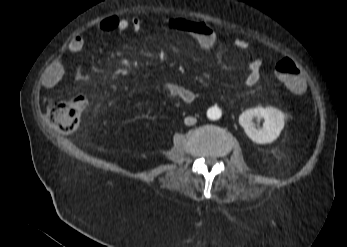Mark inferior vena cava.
I'll list each match as a JSON object with an SVG mask.
<instances>
[{"instance_id":"602c4592","label":"inferior vena cava","mask_w":347,"mask_h":247,"mask_svg":"<svg viewBox=\"0 0 347 247\" xmlns=\"http://www.w3.org/2000/svg\"><path fill=\"white\" fill-rule=\"evenodd\" d=\"M196 122H197V119L194 118V117L188 116V117H186V118L184 119V123H185L186 125H188V126L193 125V124H195Z\"/></svg>"}]
</instances>
